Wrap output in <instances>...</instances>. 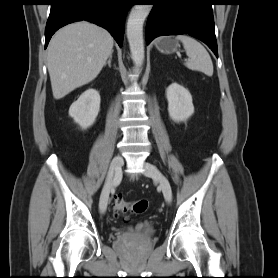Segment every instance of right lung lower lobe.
I'll use <instances>...</instances> for the list:
<instances>
[{
  "instance_id": "1",
  "label": "right lung lower lobe",
  "mask_w": 278,
  "mask_h": 278,
  "mask_svg": "<svg viewBox=\"0 0 278 278\" xmlns=\"http://www.w3.org/2000/svg\"><path fill=\"white\" fill-rule=\"evenodd\" d=\"M133 0H52L45 29V48L66 24L87 20L107 29L122 46L124 21Z\"/></svg>"
}]
</instances>
